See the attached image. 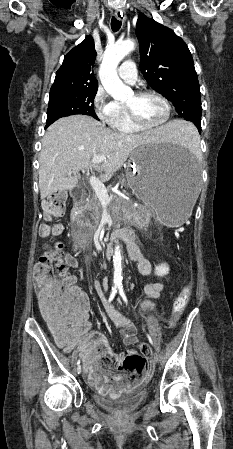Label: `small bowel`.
Masks as SVG:
<instances>
[{
	"label": "small bowel",
	"mask_w": 233,
	"mask_h": 449,
	"mask_svg": "<svg viewBox=\"0 0 233 449\" xmlns=\"http://www.w3.org/2000/svg\"><path fill=\"white\" fill-rule=\"evenodd\" d=\"M62 226L56 225L55 234L62 232ZM138 260V270L140 274L149 276L151 274L150 263L141 257H135ZM64 263L80 268L77 258L67 255ZM163 283L155 281L148 283L144 287L145 299L142 301L139 314L143 315L153 307V301L158 299L163 290ZM93 290L97 295H102L103 288L98 282H94ZM112 321L119 329L123 344L133 346L138 343L137 328L131 321L117 312L112 313ZM57 344L66 352L72 351L76 346L82 357L88 380L92 386L101 390V399H124L127 390H137V384H144V375H110L109 367L101 364V358L109 357L119 362L121 356L116 353L109 341L100 333L86 335L83 333L62 335V338H56Z\"/></svg>",
	"instance_id": "c3829d8e"
}]
</instances>
